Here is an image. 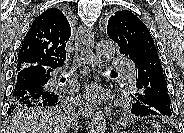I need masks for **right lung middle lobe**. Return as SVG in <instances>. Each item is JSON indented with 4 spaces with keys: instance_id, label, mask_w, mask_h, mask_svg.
I'll list each match as a JSON object with an SVG mask.
<instances>
[{
    "instance_id": "1",
    "label": "right lung middle lobe",
    "mask_w": 184,
    "mask_h": 133,
    "mask_svg": "<svg viewBox=\"0 0 184 133\" xmlns=\"http://www.w3.org/2000/svg\"><path fill=\"white\" fill-rule=\"evenodd\" d=\"M10 109L18 114H21V113H25L27 111H31V110H35V109H39L38 106L34 105V106H29V105H26L24 103H18V104H14L12 102L11 106H10Z\"/></svg>"
}]
</instances>
